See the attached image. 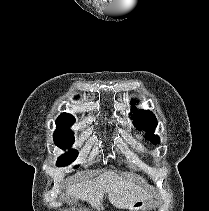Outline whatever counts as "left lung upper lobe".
Masks as SVG:
<instances>
[{
    "mask_svg": "<svg viewBox=\"0 0 209 211\" xmlns=\"http://www.w3.org/2000/svg\"><path fill=\"white\" fill-rule=\"evenodd\" d=\"M133 124L138 130L146 131V138L153 144H158L160 139L157 135H153V131L157 126V120L152 112L145 110L132 109Z\"/></svg>",
    "mask_w": 209,
    "mask_h": 211,
    "instance_id": "1",
    "label": "left lung upper lobe"
}]
</instances>
